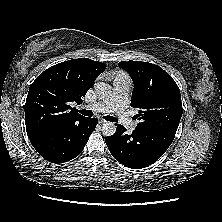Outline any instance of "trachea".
<instances>
[{
	"instance_id": "1",
	"label": "trachea",
	"mask_w": 222,
	"mask_h": 222,
	"mask_svg": "<svg viewBox=\"0 0 222 222\" xmlns=\"http://www.w3.org/2000/svg\"><path fill=\"white\" fill-rule=\"evenodd\" d=\"M79 112L84 116H89V117L93 116V112L91 110L83 109V110H79ZM105 119L110 122H117L118 121L115 117L109 116V115L105 116Z\"/></svg>"
}]
</instances>
